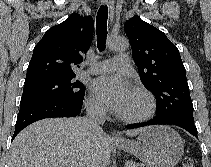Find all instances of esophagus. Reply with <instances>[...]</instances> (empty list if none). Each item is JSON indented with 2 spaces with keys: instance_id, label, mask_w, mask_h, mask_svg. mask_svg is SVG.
<instances>
[{
  "instance_id": "34e87169",
  "label": "esophagus",
  "mask_w": 211,
  "mask_h": 167,
  "mask_svg": "<svg viewBox=\"0 0 211 167\" xmlns=\"http://www.w3.org/2000/svg\"><path fill=\"white\" fill-rule=\"evenodd\" d=\"M102 4L107 5L109 8V17H110V24L113 21V16H114V2L113 0H101ZM111 139L113 141H121L122 137L115 131L113 130L111 134Z\"/></svg>"
}]
</instances>
